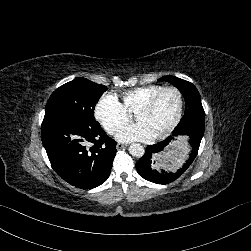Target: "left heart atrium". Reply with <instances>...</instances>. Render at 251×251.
I'll return each mask as SVG.
<instances>
[{"instance_id":"left-heart-atrium-1","label":"left heart atrium","mask_w":251,"mask_h":251,"mask_svg":"<svg viewBox=\"0 0 251 251\" xmlns=\"http://www.w3.org/2000/svg\"><path fill=\"white\" fill-rule=\"evenodd\" d=\"M158 131L148 120H139L122 126L117 131V138L123 142L151 141L156 138Z\"/></svg>"}]
</instances>
